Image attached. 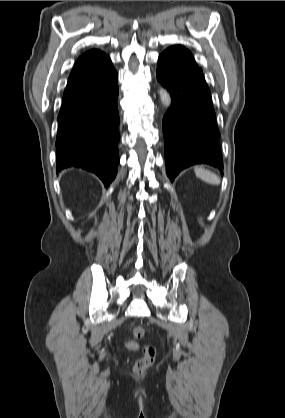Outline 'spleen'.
Listing matches in <instances>:
<instances>
[{
	"instance_id": "1",
	"label": "spleen",
	"mask_w": 285,
	"mask_h": 418,
	"mask_svg": "<svg viewBox=\"0 0 285 418\" xmlns=\"http://www.w3.org/2000/svg\"><path fill=\"white\" fill-rule=\"evenodd\" d=\"M196 177L200 178L201 180L211 184V185H219L220 178L214 174L213 172L206 170L201 167H195L194 169Z\"/></svg>"
}]
</instances>
